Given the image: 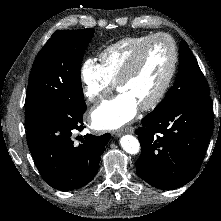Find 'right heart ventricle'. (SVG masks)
I'll return each instance as SVG.
<instances>
[{
  "label": "right heart ventricle",
  "instance_id": "1",
  "mask_svg": "<svg viewBox=\"0 0 221 221\" xmlns=\"http://www.w3.org/2000/svg\"><path fill=\"white\" fill-rule=\"evenodd\" d=\"M151 35L123 38L105 47L99 54L100 66L114 84L135 50Z\"/></svg>",
  "mask_w": 221,
  "mask_h": 221
}]
</instances>
